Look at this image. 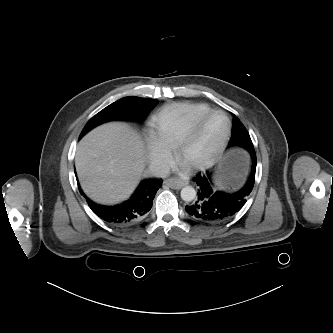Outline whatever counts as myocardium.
<instances>
[{
    "instance_id": "obj_1",
    "label": "myocardium",
    "mask_w": 333,
    "mask_h": 333,
    "mask_svg": "<svg viewBox=\"0 0 333 333\" xmlns=\"http://www.w3.org/2000/svg\"><path fill=\"white\" fill-rule=\"evenodd\" d=\"M214 115H221L225 118L226 128L222 137L220 138L215 148L213 149L211 155L204 160L191 164H184L183 163L184 156L188 148L190 147L191 143L199 133L202 125ZM231 130H232V122L227 113L220 109H211L209 112L196 119L187 129L183 137L180 139V141L178 142V144L174 149L176 161L178 163L184 164L186 168L189 169L190 171H202L212 167L218 161L221 154L223 153L229 141Z\"/></svg>"
}]
</instances>
